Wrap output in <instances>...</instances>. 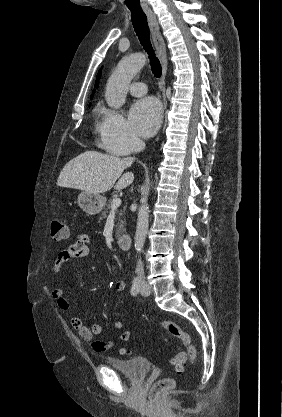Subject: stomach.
I'll return each mask as SVG.
<instances>
[{"label": "stomach", "instance_id": "0dacf381", "mask_svg": "<svg viewBox=\"0 0 282 417\" xmlns=\"http://www.w3.org/2000/svg\"><path fill=\"white\" fill-rule=\"evenodd\" d=\"M78 204L82 211L88 213V215H98L106 204V196L102 194H94V192H80L78 196Z\"/></svg>", "mask_w": 282, "mask_h": 417}]
</instances>
